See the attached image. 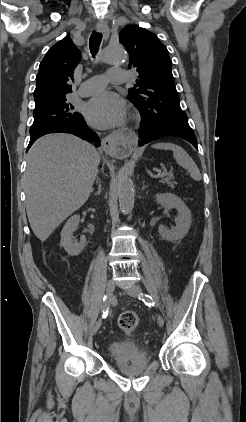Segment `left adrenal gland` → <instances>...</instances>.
I'll use <instances>...</instances> for the list:
<instances>
[{
  "instance_id": "1",
  "label": "left adrenal gland",
  "mask_w": 246,
  "mask_h": 422,
  "mask_svg": "<svg viewBox=\"0 0 246 422\" xmlns=\"http://www.w3.org/2000/svg\"><path fill=\"white\" fill-rule=\"evenodd\" d=\"M147 188V186L145 185V183L143 182V185H142V190H145Z\"/></svg>"
}]
</instances>
